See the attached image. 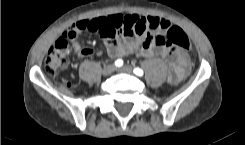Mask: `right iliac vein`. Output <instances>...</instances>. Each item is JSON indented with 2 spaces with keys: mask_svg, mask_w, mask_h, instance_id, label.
Here are the masks:
<instances>
[{
  "mask_svg": "<svg viewBox=\"0 0 245 145\" xmlns=\"http://www.w3.org/2000/svg\"><path fill=\"white\" fill-rule=\"evenodd\" d=\"M115 69V66L112 64H109L107 66L104 67L103 69V74L104 75H110Z\"/></svg>",
  "mask_w": 245,
  "mask_h": 145,
  "instance_id": "1",
  "label": "right iliac vein"
}]
</instances>
